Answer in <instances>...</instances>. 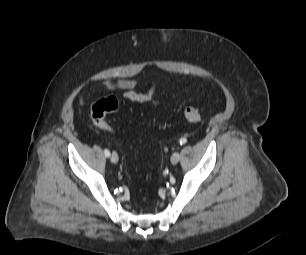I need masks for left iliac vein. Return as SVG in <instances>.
<instances>
[{
    "instance_id": "obj_1",
    "label": "left iliac vein",
    "mask_w": 306,
    "mask_h": 255,
    "mask_svg": "<svg viewBox=\"0 0 306 255\" xmlns=\"http://www.w3.org/2000/svg\"><path fill=\"white\" fill-rule=\"evenodd\" d=\"M179 159H180V154L178 152H175L171 156V163L173 165H176L178 163Z\"/></svg>"
}]
</instances>
